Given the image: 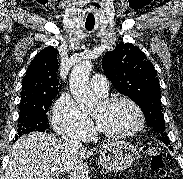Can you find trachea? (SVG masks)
Listing matches in <instances>:
<instances>
[{"mask_svg":"<svg viewBox=\"0 0 183 179\" xmlns=\"http://www.w3.org/2000/svg\"><path fill=\"white\" fill-rule=\"evenodd\" d=\"M95 18L93 14H89L86 19L85 27L87 30L91 31L94 28Z\"/></svg>","mask_w":183,"mask_h":179,"instance_id":"1","label":"trachea"}]
</instances>
